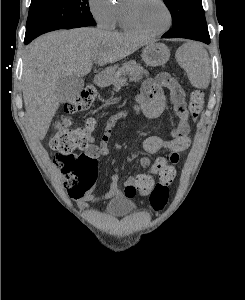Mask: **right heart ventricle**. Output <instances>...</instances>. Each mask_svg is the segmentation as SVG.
Segmentation results:
<instances>
[{"label":"right heart ventricle","instance_id":"right-heart-ventricle-1","mask_svg":"<svg viewBox=\"0 0 245 300\" xmlns=\"http://www.w3.org/2000/svg\"><path fill=\"white\" fill-rule=\"evenodd\" d=\"M117 25L121 30L126 32H135L131 28H129L124 20L123 16V6L117 5L116 6V12H115V24Z\"/></svg>","mask_w":245,"mask_h":300}]
</instances>
